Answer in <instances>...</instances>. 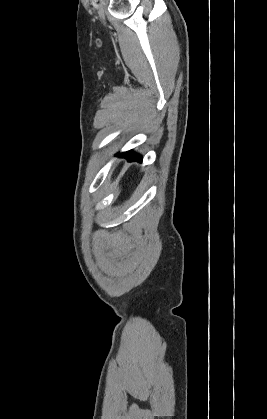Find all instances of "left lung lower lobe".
<instances>
[{
    "label": "left lung lower lobe",
    "mask_w": 267,
    "mask_h": 419,
    "mask_svg": "<svg viewBox=\"0 0 267 419\" xmlns=\"http://www.w3.org/2000/svg\"><path fill=\"white\" fill-rule=\"evenodd\" d=\"M122 156L126 157L128 161H142V157L133 151H127L123 153Z\"/></svg>",
    "instance_id": "obj_1"
}]
</instances>
